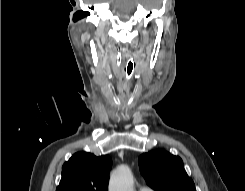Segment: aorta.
<instances>
[{
  "instance_id": "1",
  "label": "aorta",
  "mask_w": 245,
  "mask_h": 191,
  "mask_svg": "<svg viewBox=\"0 0 245 191\" xmlns=\"http://www.w3.org/2000/svg\"><path fill=\"white\" fill-rule=\"evenodd\" d=\"M109 191H133V175L127 165H120L111 175Z\"/></svg>"
}]
</instances>
